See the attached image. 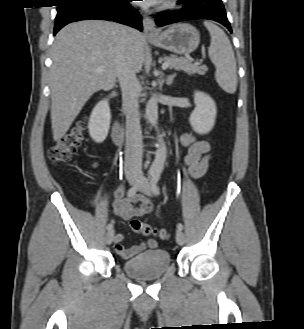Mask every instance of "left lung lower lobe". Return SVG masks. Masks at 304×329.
I'll use <instances>...</instances> for the list:
<instances>
[{
	"mask_svg": "<svg viewBox=\"0 0 304 329\" xmlns=\"http://www.w3.org/2000/svg\"><path fill=\"white\" fill-rule=\"evenodd\" d=\"M184 6L175 13H158L156 24L164 26L191 19H210L223 24L232 32L221 0H179Z\"/></svg>",
	"mask_w": 304,
	"mask_h": 329,
	"instance_id": "0a47b994",
	"label": "left lung lower lobe"
}]
</instances>
